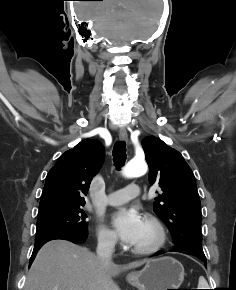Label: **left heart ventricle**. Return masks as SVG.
Returning a JSON list of instances; mask_svg holds the SVG:
<instances>
[{
    "label": "left heart ventricle",
    "mask_w": 236,
    "mask_h": 290,
    "mask_svg": "<svg viewBox=\"0 0 236 290\" xmlns=\"http://www.w3.org/2000/svg\"><path fill=\"white\" fill-rule=\"evenodd\" d=\"M153 238L154 233L152 229L144 223L142 231L133 246L147 245L153 240Z\"/></svg>",
    "instance_id": "1"
}]
</instances>
